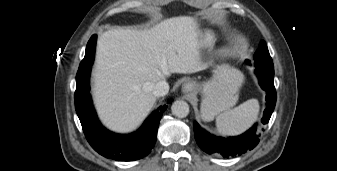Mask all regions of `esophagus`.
<instances>
[{"label":"esophagus","mask_w":337,"mask_h":171,"mask_svg":"<svg viewBox=\"0 0 337 171\" xmlns=\"http://www.w3.org/2000/svg\"><path fill=\"white\" fill-rule=\"evenodd\" d=\"M194 90V84L192 82H185L183 85H182V91L184 93H190Z\"/></svg>","instance_id":"esophagus-1"}]
</instances>
